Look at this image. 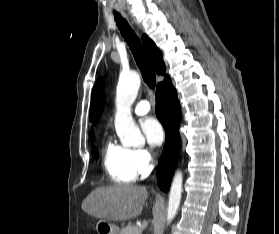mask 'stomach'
<instances>
[{
    "instance_id": "obj_1",
    "label": "stomach",
    "mask_w": 279,
    "mask_h": 234,
    "mask_svg": "<svg viewBox=\"0 0 279 234\" xmlns=\"http://www.w3.org/2000/svg\"><path fill=\"white\" fill-rule=\"evenodd\" d=\"M96 230L98 234H120L119 227L106 220H99L96 224Z\"/></svg>"
}]
</instances>
